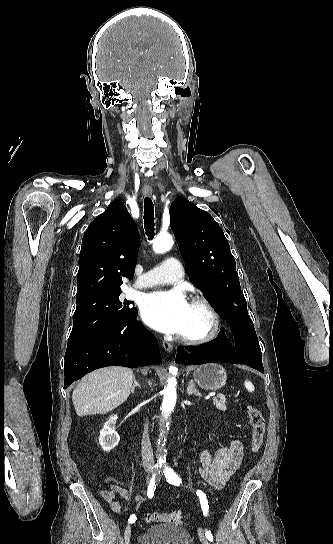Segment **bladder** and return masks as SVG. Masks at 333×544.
<instances>
[{
    "mask_svg": "<svg viewBox=\"0 0 333 544\" xmlns=\"http://www.w3.org/2000/svg\"><path fill=\"white\" fill-rule=\"evenodd\" d=\"M139 544H194V541L186 529L167 524L146 529L139 538Z\"/></svg>",
    "mask_w": 333,
    "mask_h": 544,
    "instance_id": "31cf9c89",
    "label": "bladder"
}]
</instances>
